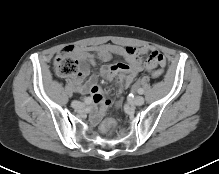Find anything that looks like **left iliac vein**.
Masks as SVG:
<instances>
[{"label":"left iliac vein","instance_id":"1","mask_svg":"<svg viewBox=\"0 0 219 174\" xmlns=\"http://www.w3.org/2000/svg\"><path fill=\"white\" fill-rule=\"evenodd\" d=\"M145 102V99L143 96H136L133 100L132 103L136 106L143 105Z\"/></svg>","mask_w":219,"mask_h":174}]
</instances>
